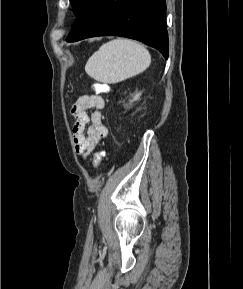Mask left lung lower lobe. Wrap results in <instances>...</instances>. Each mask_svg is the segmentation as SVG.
I'll return each mask as SVG.
<instances>
[{
  "mask_svg": "<svg viewBox=\"0 0 243 289\" xmlns=\"http://www.w3.org/2000/svg\"><path fill=\"white\" fill-rule=\"evenodd\" d=\"M165 0H90L74 22L67 41L116 35L139 40L168 58Z\"/></svg>",
  "mask_w": 243,
  "mask_h": 289,
  "instance_id": "left-lung-lower-lobe-1",
  "label": "left lung lower lobe"
}]
</instances>
